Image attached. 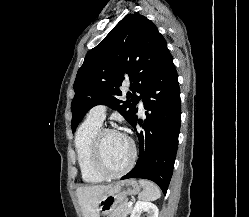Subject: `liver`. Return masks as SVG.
<instances>
[{
    "instance_id": "obj_1",
    "label": "liver",
    "mask_w": 249,
    "mask_h": 217,
    "mask_svg": "<svg viewBox=\"0 0 249 217\" xmlns=\"http://www.w3.org/2000/svg\"><path fill=\"white\" fill-rule=\"evenodd\" d=\"M111 186L112 185L85 186L76 190L84 217H99V199Z\"/></svg>"
}]
</instances>
